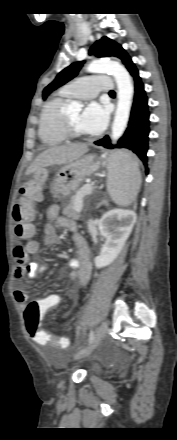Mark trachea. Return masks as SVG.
I'll use <instances>...</instances> for the list:
<instances>
[{"label":"trachea","instance_id":"obj_1","mask_svg":"<svg viewBox=\"0 0 177 440\" xmlns=\"http://www.w3.org/2000/svg\"><path fill=\"white\" fill-rule=\"evenodd\" d=\"M109 94H115V92H114L113 90H111V91L109 92Z\"/></svg>","mask_w":177,"mask_h":440}]
</instances>
